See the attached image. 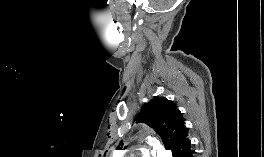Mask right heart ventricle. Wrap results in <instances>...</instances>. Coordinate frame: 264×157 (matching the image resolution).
I'll return each mask as SVG.
<instances>
[{"instance_id": "e07e8e85", "label": "right heart ventricle", "mask_w": 264, "mask_h": 157, "mask_svg": "<svg viewBox=\"0 0 264 157\" xmlns=\"http://www.w3.org/2000/svg\"><path fill=\"white\" fill-rule=\"evenodd\" d=\"M113 157H120V155L119 154H115Z\"/></svg>"}]
</instances>
